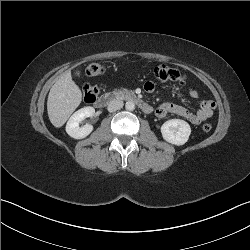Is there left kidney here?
<instances>
[{"instance_id":"5707ae66","label":"left kidney","mask_w":250,"mask_h":250,"mask_svg":"<svg viewBox=\"0 0 250 250\" xmlns=\"http://www.w3.org/2000/svg\"><path fill=\"white\" fill-rule=\"evenodd\" d=\"M161 133L165 141L180 146L188 141L191 128L184 120L171 119L161 126Z\"/></svg>"}]
</instances>
